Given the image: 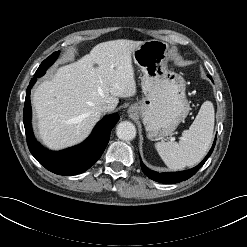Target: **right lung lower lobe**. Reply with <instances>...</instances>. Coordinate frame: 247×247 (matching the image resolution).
Instances as JSON below:
<instances>
[{"label": "right lung lower lobe", "mask_w": 247, "mask_h": 247, "mask_svg": "<svg viewBox=\"0 0 247 247\" xmlns=\"http://www.w3.org/2000/svg\"><path fill=\"white\" fill-rule=\"evenodd\" d=\"M36 82L32 78L26 91L23 121L27 144L34 158L49 171L58 175H76L88 170L102 155L109 139L111 129L119 120L117 113L105 116L95 126L92 134L81 144L58 152L49 151L35 139L31 126L30 91Z\"/></svg>", "instance_id": "right-lung-lower-lobe-1"}]
</instances>
